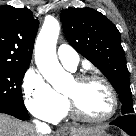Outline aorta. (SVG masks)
<instances>
[{"mask_svg": "<svg viewBox=\"0 0 136 136\" xmlns=\"http://www.w3.org/2000/svg\"><path fill=\"white\" fill-rule=\"evenodd\" d=\"M60 32L57 19H45L35 45V62L42 76L58 92H63L71 76L61 67L56 55V43Z\"/></svg>", "mask_w": 136, "mask_h": 136, "instance_id": "aorta-1", "label": "aorta"}]
</instances>
